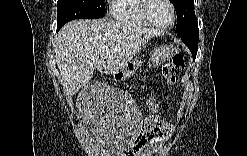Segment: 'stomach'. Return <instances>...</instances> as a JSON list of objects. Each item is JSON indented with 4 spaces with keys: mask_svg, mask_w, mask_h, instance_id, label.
Here are the masks:
<instances>
[{
    "mask_svg": "<svg viewBox=\"0 0 247 156\" xmlns=\"http://www.w3.org/2000/svg\"><path fill=\"white\" fill-rule=\"evenodd\" d=\"M175 49L172 46H162L154 49L149 57L150 61L152 62L153 65L158 66L163 64L164 62L168 61L170 58L173 57L175 53ZM142 64L141 60L139 59H134L131 62L127 64V66L116 73V75L119 74V78H127L130 75L134 74L136 69Z\"/></svg>",
    "mask_w": 247,
    "mask_h": 156,
    "instance_id": "obj_1",
    "label": "stomach"
}]
</instances>
